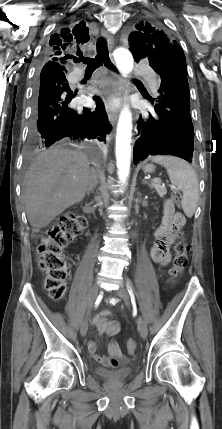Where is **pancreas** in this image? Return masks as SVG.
Here are the masks:
<instances>
[{
	"mask_svg": "<svg viewBox=\"0 0 222 429\" xmlns=\"http://www.w3.org/2000/svg\"><path fill=\"white\" fill-rule=\"evenodd\" d=\"M152 188L156 190L160 197H164L167 193V189L165 186L152 182L150 185Z\"/></svg>",
	"mask_w": 222,
	"mask_h": 429,
	"instance_id": "obj_1",
	"label": "pancreas"
}]
</instances>
